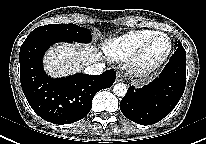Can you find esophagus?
Instances as JSON below:
<instances>
[{
	"label": "esophagus",
	"instance_id": "1",
	"mask_svg": "<svg viewBox=\"0 0 206 144\" xmlns=\"http://www.w3.org/2000/svg\"><path fill=\"white\" fill-rule=\"evenodd\" d=\"M116 81H117V82H122V81H123V76H122V74L117 73V75H116Z\"/></svg>",
	"mask_w": 206,
	"mask_h": 144
}]
</instances>
